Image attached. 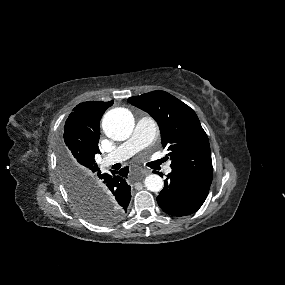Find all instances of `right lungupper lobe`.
Here are the masks:
<instances>
[{"label": "right lung upper lobe", "instance_id": "1", "mask_svg": "<svg viewBox=\"0 0 285 285\" xmlns=\"http://www.w3.org/2000/svg\"><path fill=\"white\" fill-rule=\"evenodd\" d=\"M110 102L87 101L78 104L66 120L62 144L71 162L87 178H91L99 169L95 163V154L100 153V120Z\"/></svg>", "mask_w": 285, "mask_h": 285}]
</instances>
